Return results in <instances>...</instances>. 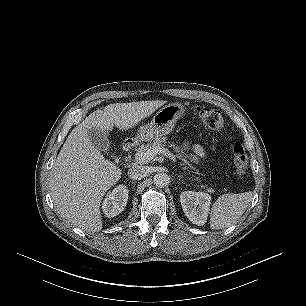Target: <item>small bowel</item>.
Wrapping results in <instances>:
<instances>
[{
	"label": "small bowel",
	"mask_w": 306,
	"mask_h": 306,
	"mask_svg": "<svg viewBox=\"0 0 306 306\" xmlns=\"http://www.w3.org/2000/svg\"><path fill=\"white\" fill-rule=\"evenodd\" d=\"M192 149H193V159H198L200 157H203L205 154L204 149L200 145H194Z\"/></svg>",
	"instance_id": "obj_1"
}]
</instances>
